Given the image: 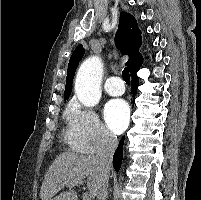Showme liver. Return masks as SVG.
<instances>
[{
    "instance_id": "1",
    "label": "liver",
    "mask_w": 201,
    "mask_h": 200,
    "mask_svg": "<svg viewBox=\"0 0 201 200\" xmlns=\"http://www.w3.org/2000/svg\"><path fill=\"white\" fill-rule=\"evenodd\" d=\"M109 176V173H108ZM103 172L95 156H85L65 152L56 157L49 167L40 190L41 200H78L75 190L69 186V191L54 197L66 183L83 182L87 179V187L92 197L98 195Z\"/></svg>"
}]
</instances>
